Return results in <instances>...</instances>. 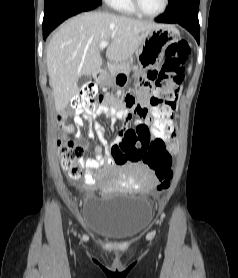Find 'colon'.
Wrapping results in <instances>:
<instances>
[{
    "instance_id": "obj_1",
    "label": "colon",
    "mask_w": 238,
    "mask_h": 278,
    "mask_svg": "<svg viewBox=\"0 0 238 278\" xmlns=\"http://www.w3.org/2000/svg\"><path fill=\"white\" fill-rule=\"evenodd\" d=\"M190 53L189 44L185 40L169 45L165 51V60L157 76L153 98H150L151 118L148 127L150 137H141V144L123 142L113 145L110 153L116 164L127 161L142 160L155 174L158 190L167 189L173 176L172 149H166L165 144H150L154 135H172L175 132L173 123L176 102L184 80V69ZM151 82V81H150ZM123 100H135L131 95ZM102 100L97 98V88L94 84L85 85L73 97L71 105L75 110L93 113L99 108ZM139 104V103H137ZM138 115V113H136ZM61 154V165L67 173L78 178L81 175V159L85 147L70 138H63L58 142Z\"/></svg>"
}]
</instances>
